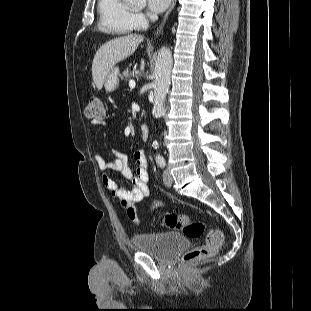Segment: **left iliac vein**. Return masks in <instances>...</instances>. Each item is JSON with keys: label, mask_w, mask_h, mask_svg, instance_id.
<instances>
[{"label": "left iliac vein", "mask_w": 311, "mask_h": 311, "mask_svg": "<svg viewBox=\"0 0 311 311\" xmlns=\"http://www.w3.org/2000/svg\"><path fill=\"white\" fill-rule=\"evenodd\" d=\"M163 182L167 187H171L172 185V176L168 169H165L163 172Z\"/></svg>", "instance_id": "obj_1"}]
</instances>
